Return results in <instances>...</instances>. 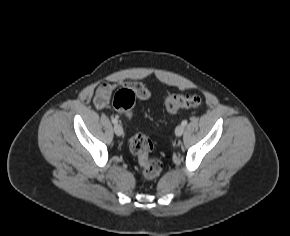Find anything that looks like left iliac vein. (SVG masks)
Wrapping results in <instances>:
<instances>
[{
    "mask_svg": "<svg viewBox=\"0 0 290 236\" xmlns=\"http://www.w3.org/2000/svg\"><path fill=\"white\" fill-rule=\"evenodd\" d=\"M185 127L183 125H178L175 129L176 136H181L184 133Z\"/></svg>",
    "mask_w": 290,
    "mask_h": 236,
    "instance_id": "1",
    "label": "left iliac vein"
}]
</instances>
